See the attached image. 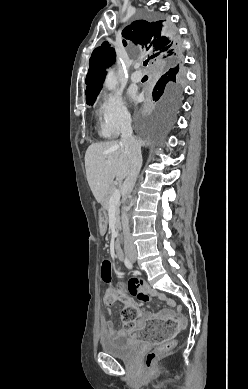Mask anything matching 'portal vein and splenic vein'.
<instances>
[{
    "mask_svg": "<svg viewBox=\"0 0 248 389\" xmlns=\"http://www.w3.org/2000/svg\"><path fill=\"white\" fill-rule=\"evenodd\" d=\"M120 191L118 189H115L113 195L111 196L110 200H109V205L110 206H116L119 201H120Z\"/></svg>",
    "mask_w": 248,
    "mask_h": 389,
    "instance_id": "obj_1",
    "label": "portal vein and splenic vein"
}]
</instances>
